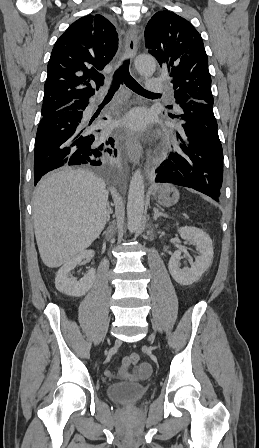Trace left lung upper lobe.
<instances>
[{"instance_id": "obj_1", "label": "left lung upper lobe", "mask_w": 259, "mask_h": 448, "mask_svg": "<svg viewBox=\"0 0 259 448\" xmlns=\"http://www.w3.org/2000/svg\"><path fill=\"white\" fill-rule=\"evenodd\" d=\"M145 39L149 53L172 78L174 110L190 100L213 104L208 57L202 37L192 24L173 12L159 11L149 20Z\"/></svg>"}]
</instances>
